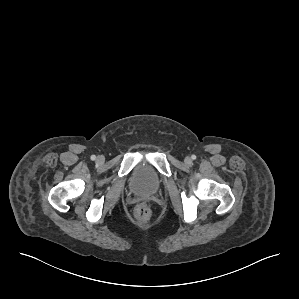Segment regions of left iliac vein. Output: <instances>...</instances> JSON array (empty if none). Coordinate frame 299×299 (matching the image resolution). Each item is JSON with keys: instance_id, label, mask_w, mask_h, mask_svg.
Segmentation results:
<instances>
[{"instance_id": "1", "label": "left iliac vein", "mask_w": 299, "mask_h": 299, "mask_svg": "<svg viewBox=\"0 0 299 299\" xmlns=\"http://www.w3.org/2000/svg\"><path fill=\"white\" fill-rule=\"evenodd\" d=\"M184 162H185V164L190 165V164L192 163V160H191L190 157H186V158L184 159Z\"/></svg>"}]
</instances>
